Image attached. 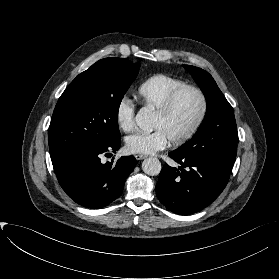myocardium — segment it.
<instances>
[{
  "label": "myocardium",
  "mask_w": 279,
  "mask_h": 279,
  "mask_svg": "<svg viewBox=\"0 0 279 279\" xmlns=\"http://www.w3.org/2000/svg\"><path fill=\"white\" fill-rule=\"evenodd\" d=\"M185 91H193L195 92L201 101V110L200 113L196 119V121L194 122V124L191 126V128L185 132L183 135H181L178 138H174L171 141V143L175 144V145H180L183 144L187 141H189L191 138H193L196 133L199 131V129L201 128L202 124L205 121V118L207 116V112H208V99L206 94L204 93V91L194 85H183L181 87L176 88L175 90H173L165 99L164 103L162 104V106L156 110V114L160 115V116H166L170 113V111L172 110L175 101L177 100V98Z\"/></svg>",
  "instance_id": "f54148a6"
}]
</instances>
